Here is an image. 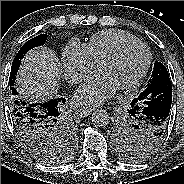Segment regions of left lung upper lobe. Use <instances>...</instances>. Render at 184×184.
Instances as JSON below:
<instances>
[{
  "label": "left lung upper lobe",
  "mask_w": 184,
  "mask_h": 184,
  "mask_svg": "<svg viewBox=\"0 0 184 184\" xmlns=\"http://www.w3.org/2000/svg\"><path fill=\"white\" fill-rule=\"evenodd\" d=\"M161 79H170L168 71L161 62H155L148 85ZM130 109L131 107L115 121L113 136L122 158L128 161L142 160L158 149L166 133L157 137L151 127L145 126L131 115Z\"/></svg>",
  "instance_id": "obj_1"
}]
</instances>
